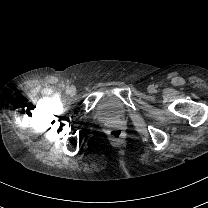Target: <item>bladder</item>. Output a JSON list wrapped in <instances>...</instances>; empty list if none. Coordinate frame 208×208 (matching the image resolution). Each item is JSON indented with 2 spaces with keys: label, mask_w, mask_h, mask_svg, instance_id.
Masks as SVG:
<instances>
[{
  "label": "bladder",
  "mask_w": 208,
  "mask_h": 208,
  "mask_svg": "<svg viewBox=\"0 0 208 208\" xmlns=\"http://www.w3.org/2000/svg\"><path fill=\"white\" fill-rule=\"evenodd\" d=\"M104 104H105V106H109L112 109L118 108V102L115 99H111L109 101H106Z\"/></svg>",
  "instance_id": "1"
}]
</instances>
